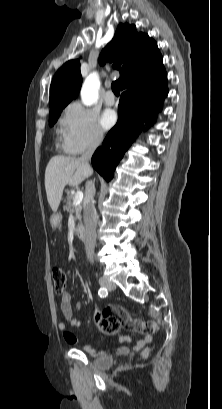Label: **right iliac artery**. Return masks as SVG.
Instances as JSON below:
<instances>
[{"instance_id":"obj_1","label":"right iliac artery","mask_w":222,"mask_h":409,"mask_svg":"<svg viewBox=\"0 0 222 409\" xmlns=\"http://www.w3.org/2000/svg\"><path fill=\"white\" fill-rule=\"evenodd\" d=\"M98 295L101 298H105L108 295L107 289L106 288H100L99 291H98Z\"/></svg>"}]
</instances>
